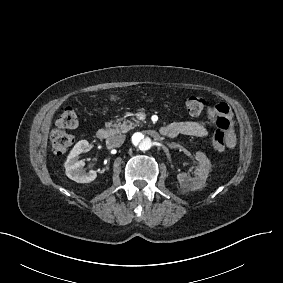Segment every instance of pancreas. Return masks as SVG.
<instances>
[{"mask_svg": "<svg viewBox=\"0 0 283 283\" xmlns=\"http://www.w3.org/2000/svg\"><path fill=\"white\" fill-rule=\"evenodd\" d=\"M139 126V121L135 118L129 121H123V122H109L106 124V128L108 131L113 135L117 134L119 132L127 133L129 130L134 129L135 127Z\"/></svg>", "mask_w": 283, "mask_h": 283, "instance_id": "1", "label": "pancreas"}]
</instances>
